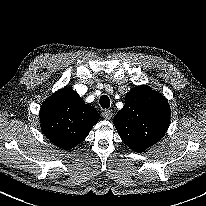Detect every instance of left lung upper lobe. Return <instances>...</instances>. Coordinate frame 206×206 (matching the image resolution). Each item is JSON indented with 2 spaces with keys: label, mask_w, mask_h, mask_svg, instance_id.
<instances>
[{
  "label": "left lung upper lobe",
  "mask_w": 206,
  "mask_h": 206,
  "mask_svg": "<svg viewBox=\"0 0 206 206\" xmlns=\"http://www.w3.org/2000/svg\"><path fill=\"white\" fill-rule=\"evenodd\" d=\"M113 122L126 145L135 152H143L165 135L170 107L160 93L148 86H137L127 94L125 105Z\"/></svg>",
  "instance_id": "1"
}]
</instances>
